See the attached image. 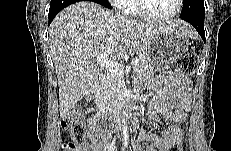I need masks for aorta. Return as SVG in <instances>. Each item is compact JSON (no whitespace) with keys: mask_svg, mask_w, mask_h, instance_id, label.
Returning <instances> with one entry per match:
<instances>
[{"mask_svg":"<svg viewBox=\"0 0 231 151\" xmlns=\"http://www.w3.org/2000/svg\"><path fill=\"white\" fill-rule=\"evenodd\" d=\"M122 122L124 124L122 127V134H123L124 141L127 142V140H128V128H127L125 119H122Z\"/></svg>","mask_w":231,"mask_h":151,"instance_id":"1","label":"aorta"}]
</instances>
